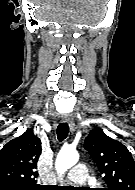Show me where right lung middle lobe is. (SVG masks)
<instances>
[{
	"instance_id": "obj_1",
	"label": "right lung middle lobe",
	"mask_w": 135,
	"mask_h": 190,
	"mask_svg": "<svg viewBox=\"0 0 135 190\" xmlns=\"http://www.w3.org/2000/svg\"><path fill=\"white\" fill-rule=\"evenodd\" d=\"M0 190H39V189H33V188H17L12 186H1Z\"/></svg>"
}]
</instances>
